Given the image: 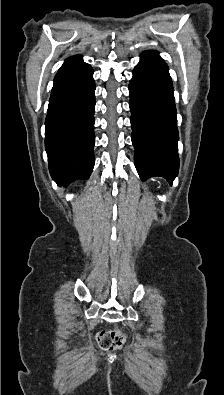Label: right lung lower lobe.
<instances>
[{
	"instance_id": "1",
	"label": "right lung lower lobe",
	"mask_w": 224,
	"mask_h": 395,
	"mask_svg": "<svg viewBox=\"0 0 224 395\" xmlns=\"http://www.w3.org/2000/svg\"><path fill=\"white\" fill-rule=\"evenodd\" d=\"M94 91L92 67L81 56L67 58L54 78L45 120L49 170L65 186L88 179L94 167Z\"/></svg>"
}]
</instances>
